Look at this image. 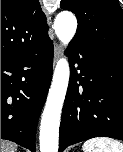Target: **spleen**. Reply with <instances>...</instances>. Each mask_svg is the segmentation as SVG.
Masks as SVG:
<instances>
[{"instance_id": "spleen-1", "label": "spleen", "mask_w": 123, "mask_h": 152, "mask_svg": "<svg viewBox=\"0 0 123 152\" xmlns=\"http://www.w3.org/2000/svg\"><path fill=\"white\" fill-rule=\"evenodd\" d=\"M83 152H123V144L107 137H97L85 141Z\"/></svg>"}]
</instances>
